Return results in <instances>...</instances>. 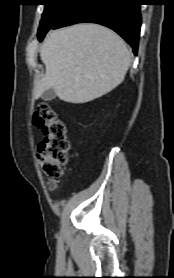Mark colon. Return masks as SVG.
<instances>
[{"instance_id": "obj_1", "label": "colon", "mask_w": 174, "mask_h": 278, "mask_svg": "<svg viewBox=\"0 0 174 278\" xmlns=\"http://www.w3.org/2000/svg\"><path fill=\"white\" fill-rule=\"evenodd\" d=\"M33 123L44 134L37 156L43 173L49 178L48 187L53 189L56 179L61 177L63 166L68 160L70 143L66 127L47 103L37 105L33 114Z\"/></svg>"}]
</instances>
